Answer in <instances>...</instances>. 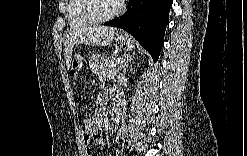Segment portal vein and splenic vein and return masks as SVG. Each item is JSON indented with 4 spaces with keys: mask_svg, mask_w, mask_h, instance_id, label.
I'll return each instance as SVG.
<instances>
[{
    "mask_svg": "<svg viewBox=\"0 0 247 156\" xmlns=\"http://www.w3.org/2000/svg\"><path fill=\"white\" fill-rule=\"evenodd\" d=\"M121 62H123V59H122V58H117V59L115 60V63H117V64H119V63H121Z\"/></svg>",
    "mask_w": 247,
    "mask_h": 156,
    "instance_id": "18ae733b",
    "label": "portal vein and splenic vein"
}]
</instances>
